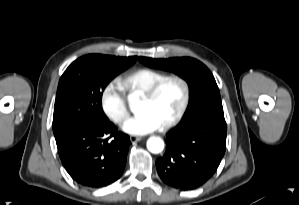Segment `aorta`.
Returning <instances> with one entry per match:
<instances>
[{"instance_id": "762f6f07", "label": "aorta", "mask_w": 299, "mask_h": 205, "mask_svg": "<svg viewBox=\"0 0 299 205\" xmlns=\"http://www.w3.org/2000/svg\"><path fill=\"white\" fill-rule=\"evenodd\" d=\"M134 98H130L131 108H133ZM147 148L151 153H160L164 149V141L159 137H151L147 141Z\"/></svg>"}]
</instances>
